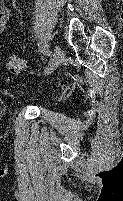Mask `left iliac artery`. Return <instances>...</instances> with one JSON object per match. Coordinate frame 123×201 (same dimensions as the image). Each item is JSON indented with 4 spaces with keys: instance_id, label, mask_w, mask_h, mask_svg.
Wrapping results in <instances>:
<instances>
[{
    "instance_id": "44dca946",
    "label": "left iliac artery",
    "mask_w": 123,
    "mask_h": 201,
    "mask_svg": "<svg viewBox=\"0 0 123 201\" xmlns=\"http://www.w3.org/2000/svg\"><path fill=\"white\" fill-rule=\"evenodd\" d=\"M38 46H40L41 50L43 51V53H45L46 55L50 56L51 55V51L49 50V46L43 42H40L38 44Z\"/></svg>"
}]
</instances>
